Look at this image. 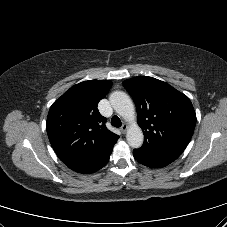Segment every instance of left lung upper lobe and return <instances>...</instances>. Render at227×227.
Masks as SVG:
<instances>
[{"label": "left lung upper lobe", "instance_id": "obj_1", "mask_svg": "<svg viewBox=\"0 0 227 227\" xmlns=\"http://www.w3.org/2000/svg\"><path fill=\"white\" fill-rule=\"evenodd\" d=\"M123 85L137 107L138 124L144 133L142 148L161 149L180 156L196 124L190 99L152 77H134Z\"/></svg>", "mask_w": 227, "mask_h": 227}]
</instances>
